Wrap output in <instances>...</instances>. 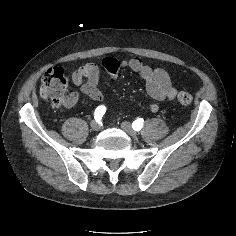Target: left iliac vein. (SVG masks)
Wrapping results in <instances>:
<instances>
[{
	"label": "left iliac vein",
	"mask_w": 236,
	"mask_h": 236,
	"mask_svg": "<svg viewBox=\"0 0 236 236\" xmlns=\"http://www.w3.org/2000/svg\"><path fill=\"white\" fill-rule=\"evenodd\" d=\"M121 128L130 136L137 137L138 133L132 128L131 123L124 121L121 123Z\"/></svg>",
	"instance_id": "4c4485c4"
}]
</instances>
